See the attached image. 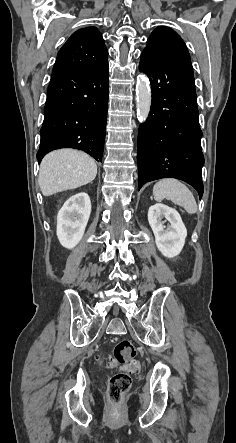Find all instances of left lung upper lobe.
<instances>
[{
    "instance_id": "5c2ea615",
    "label": "left lung upper lobe",
    "mask_w": 236,
    "mask_h": 443,
    "mask_svg": "<svg viewBox=\"0 0 236 443\" xmlns=\"http://www.w3.org/2000/svg\"><path fill=\"white\" fill-rule=\"evenodd\" d=\"M143 52L160 58L190 60L189 52L181 37L165 26L153 30Z\"/></svg>"
}]
</instances>
